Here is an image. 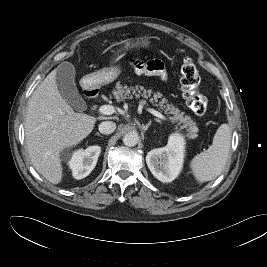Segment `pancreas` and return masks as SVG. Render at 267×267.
Returning <instances> with one entry per match:
<instances>
[{
	"instance_id": "pancreas-1",
	"label": "pancreas",
	"mask_w": 267,
	"mask_h": 267,
	"mask_svg": "<svg viewBox=\"0 0 267 267\" xmlns=\"http://www.w3.org/2000/svg\"><path fill=\"white\" fill-rule=\"evenodd\" d=\"M113 95L118 102L135 96L136 98H144L141 103L147 104L146 100L149 99V102L157 106L160 110H164L166 113L172 114L173 116L171 119L173 121L183 124L182 128L186 129L188 138L197 137L198 127L196 123L191 120L190 116L184 115V113L178 108L172 104H168V100L166 98H162L161 93L157 92L152 96V91L146 90L143 86L128 87L127 85L123 86L120 82H118L113 90Z\"/></svg>"
}]
</instances>
